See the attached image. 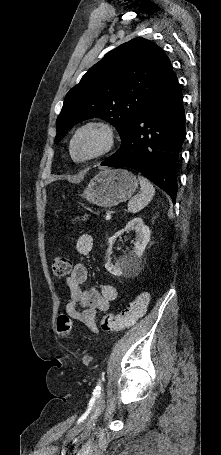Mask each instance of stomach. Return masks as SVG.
Returning <instances> with one entry per match:
<instances>
[{
  "mask_svg": "<svg viewBox=\"0 0 221 455\" xmlns=\"http://www.w3.org/2000/svg\"><path fill=\"white\" fill-rule=\"evenodd\" d=\"M138 188L136 177L124 169H104L88 183L82 197L100 207H113L127 201Z\"/></svg>",
  "mask_w": 221,
  "mask_h": 455,
  "instance_id": "1",
  "label": "stomach"
}]
</instances>
